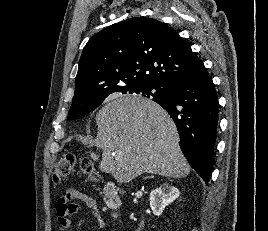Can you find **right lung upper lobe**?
I'll return each mask as SVG.
<instances>
[{
	"label": "right lung upper lobe",
	"instance_id": "obj_1",
	"mask_svg": "<svg viewBox=\"0 0 268 231\" xmlns=\"http://www.w3.org/2000/svg\"><path fill=\"white\" fill-rule=\"evenodd\" d=\"M203 66L191 47L164 23L130 18L101 30L86 44L72 103L92 104L126 87H164Z\"/></svg>",
	"mask_w": 268,
	"mask_h": 231
}]
</instances>
